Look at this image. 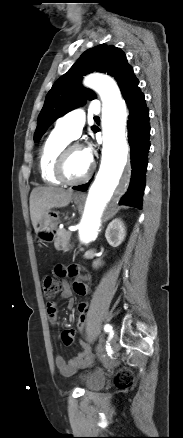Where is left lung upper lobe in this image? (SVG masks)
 <instances>
[{"instance_id":"5c2ea615","label":"left lung upper lobe","mask_w":183,"mask_h":438,"mask_svg":"<svg viewBox=\"0 0 183 438\" xmlns=\"http://www.w3.org/2000/svg\"><path fill=\"white\" fill-rule=\"evenodd\" d=\"M93 71L113 76L123 92L135 78L133 68L127 63L125 53L114 45L101 44L86 50L71 69L61 76L48 92L44 106L38 116L34 141L38 142L47 128L59 117L82 106L95 94L81 85L82 75ZM94 131L97 127L93 126Z\"/></svg>"}]
</instances>
